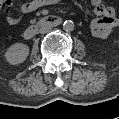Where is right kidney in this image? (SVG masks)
<instances>
[{"label": "right kidney", "mask_w": 119, "mask_h": 119, "mask_svg": "<svg viewBox=\"0 0 119 119\" xmlns=\"http://www.w3.org/2000/svg\"><path fill=\"white\" fill-rule=\"evenodd\" d=\"M29 55V47L23 43L13 44L5 53V58L11 65L24 62Z\"/></svg>", "instance_id": "obj_1"}]
</instances>
